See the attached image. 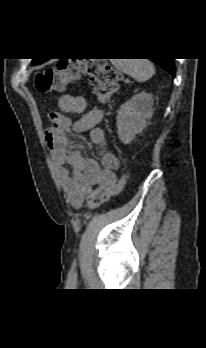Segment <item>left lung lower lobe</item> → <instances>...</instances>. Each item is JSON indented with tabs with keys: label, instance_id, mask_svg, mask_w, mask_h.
<instances>
[{
	"label": "left lung lower lobe",
	"instance_id": "obj_1",
	"mask_svg": "<svg viewBox=\"0 0 206 348\" xmlns=\"http://www.w3.org/2000/svg\"><path fill=\"white\" fill-rule=\"evenodd\" d=\"M151 60L167 70L173 77L175 76L174 58H157Z\"/></svg>",
	"mask_w": 206,
	"mask_h": 348
}]
</instances>
